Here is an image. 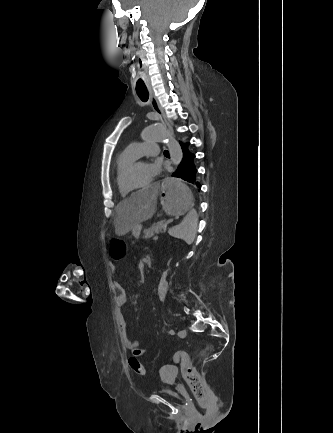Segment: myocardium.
<instances>
[{
    "instance_id": "myocardium-1",
    "label": "myocardium",
    "mask_w": 333,
    "mask_h": 433,
    "mask_svg": "<svg viewBox=\"0 0 333 433\" xmlns=\"http://www.w3.org/2000/svg\"><path fill=\"white\" fill-rule=\"evenodd\" d=\"M141 162H144V161H142V160H134L133 162H131L125 169H124V171H123V173H122V176H121V179H120V184H121V187L124 189V190H126V191H128V192H131V191H140L141 189H144V188H147V187H149L150 186V184H151V182L150 181H148V182H146V183H144V184H142V185H139V186H132V185H130V183H129V177H130V175H131V173L133 172V170H134V168H135V166L138 164V163H141Z\"/></svg>"
}]
</instances>
